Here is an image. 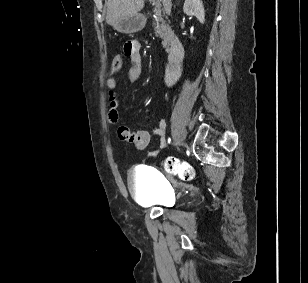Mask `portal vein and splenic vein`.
I'll return each mask as SVG.
<instances>
[{
    "label": "portal vein and splenic vein",
    "mask_w": 308,
    "mask_h": 283,
    "mask_svg": "<svg viewBox=\"0 0 308 283\" xmlns=\"http://www.w3.org/2000/svg\"><path fill=\"white\" fill-rule=\"evenodd\" d=\"M152 2H153V4H154V6H155V9L156 10H159L160 9V7H161V0H152Z\"/></svg>",
    "instance_id": "obj_1"
}]
</instances>
